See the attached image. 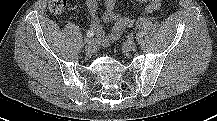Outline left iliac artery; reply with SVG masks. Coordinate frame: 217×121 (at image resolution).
I'll list each match as a JSON object with an SVG mask.
<instances>
[{
    "label": "left iliac artery",
    "mask_w": 217,
    "mask_h": 121,
    "mask_svg": "<svg viewBox=\"0 0 217 121\" xmlns=\"http://www.w3.org/2000/svg\"><path fill=\"white\" fill-rule=\"evenodd\" d=\"M151 24V20L149 18L141 17L137 20L136 27L141 28Z\"/></svg>",
    "instance_id": "44dca946"
}]
</instances>
